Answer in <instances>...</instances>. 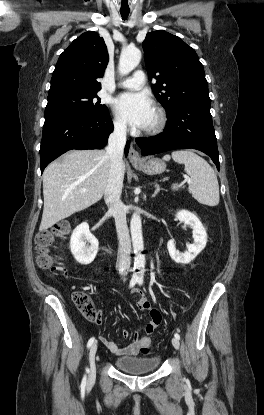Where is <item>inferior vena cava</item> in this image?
<instances>
[{"instance_id":"obj_1","label":"inferior vena cava","mask_w":264,"mask_h":415,"mask_svg":"<svg viewBox=\"0 0 264 415\" xmlns=\"http://www.w3.org/2000/svg\"><path fill=\"white\" fill-rule=\"evenodd\" d=\"M126 125L117 122L114 131L110 134L106 147V157L110 160V170L105 189V202L115 219L116 231L119 240V274L126 275L131 263V240L126 222L124 205L121 202L123 187V152L126 144Z\"/></svg>"}]
</instances>
